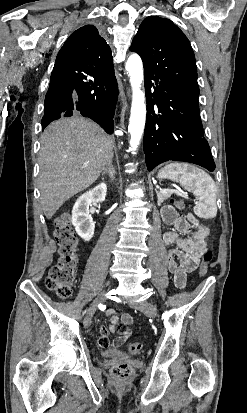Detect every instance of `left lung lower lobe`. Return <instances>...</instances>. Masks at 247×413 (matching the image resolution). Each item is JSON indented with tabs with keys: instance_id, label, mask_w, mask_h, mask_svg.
Here are the masks:
<instances>
[{
	"instance_id": "1",
	"label": "left lung lower lobe",
	"mask_w": 247,
	"mask_h": 413,
	"mask_svg": "<svg viewBox=\"0 0 247 413\" xmlns=\"http://www.w3.org/2000/svg\"><path fill=\"white\" fill-rule=\"evenodd\" d=\"M144 79L147 119L143 148L148 170L173 160L214 171L215 163L201 123L198 96L146 70Z\"/></svg>"
}]
</instances>
